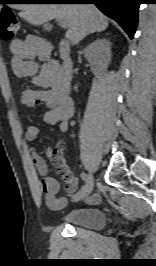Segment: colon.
<instances>
[{"label":"colon","instance_id":"obj_1","mask_svg":"<svg viewBox=\"0 0 156 266\" xmlns=\"http://www.w3.org/2000/svg\"><path fill=\"white\" fill-rule=\"evenodd\" d=\"M19 31V22L10 9H3L0 14V35L3 40H12Z\"/></svg>","mask_w":156,"mask_h":266}]
</instances>
